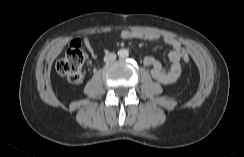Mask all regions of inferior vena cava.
<instances>
[{
  "instance_id": "1",
  "label": "inferior vena cava",
  "mask_w": 244,
  "mask_h": 157,
  "mask_svg": "<svg viewBox=\"0 0 244 157\" xmlns=\"http://www.w3.org/2000/svg\"><path fill=\"white\" fill-rule=\"evenodd\" d=\"M116 59V54L115 53H109L104 56V62H111Z\"/></svg>"
}]
</instances>
